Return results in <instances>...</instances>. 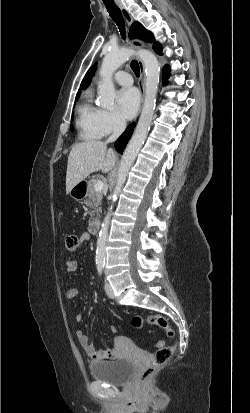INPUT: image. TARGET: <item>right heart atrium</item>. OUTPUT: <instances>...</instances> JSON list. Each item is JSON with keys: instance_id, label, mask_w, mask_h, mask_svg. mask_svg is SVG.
<instances>
[{"instance_id": "1", "label": "right heart atrium", "mask_w": 250, "mask_h": 413, "mask_svg": "<svg viewBox=\"0 0 250 413\" xmlns=\"http://www.w3.org/2000/svg\"><path fill=\"white\" fill-rule=\"evenodd\" d=\"M99 125L102 136H106L122 131L126 126V122L119 111L115 109H101Z\"/></svg>"}]
</instances>
